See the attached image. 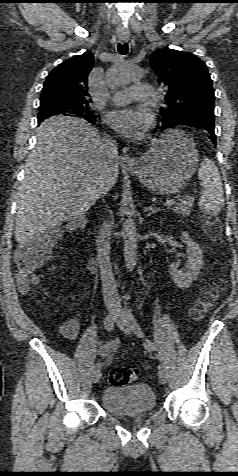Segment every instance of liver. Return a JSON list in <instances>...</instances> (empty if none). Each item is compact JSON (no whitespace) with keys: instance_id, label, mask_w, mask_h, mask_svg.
<instances>
[{"instance_id":"6515ba94","label":"liver","mask_w":238,"mask_h":476,"mask_svg":"<svg viewBox=\"0 0 238 476\" xmlns=\"http://www.w3.org/2000/svg\"><path fill=\"white\" fill-rule=\"evenodd\" d=\"M36 136L17 198L19 243L84 215L99 198L105 176L109 189L118 178V162L107 172L100 133L86 120L54 116L40 124Z\"/></svg>"}]
</instances>
